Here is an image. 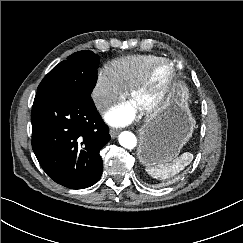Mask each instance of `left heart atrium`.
<instances>
[{
  "instance_id": "39dd6f15",
  "label": "left heart atrium",
  "mask_w": 243,
  "mask_h": 243,
  "mask_svg": "<svg viewBox=\"0 0 243 243\" xmlns=\"http://www.w3.org/2000/svg\"><path fill=\"white\" fill-rule=\"evenodd\" d=\"M137 108L132 103L121 104L111 109L106 115V121L113 126L130 123L136 115Z\"/></svg>"
}]
</instances>
